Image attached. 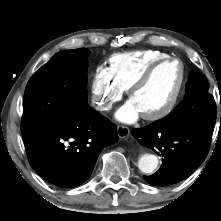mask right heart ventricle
<instances>
[{
  "instance_id": "e07e8e85",
  "label": "right heart ventricle",
  "mask_w": 221,
  "mask_h": 221,
  "mask_svg": "<svg viewBox=\"0 0 221 221\" xmlns=\"http://www.w3.org/2000/svg\"><path fill=\"white\" fill-rule=\"evenodd\" d=\"M166 57L168 53L154 49L117 53L109 58L108 71L115 82L127 90L149 65Z\"/></svg>"
}]
</instances>
